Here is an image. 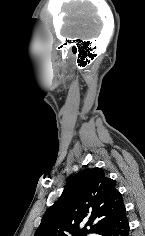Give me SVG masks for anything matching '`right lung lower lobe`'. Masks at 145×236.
I'll return each mask as SVG.
<instances>
[{
    "mask_svg": "<svg viewBox=\"0 0 145 236\" xmlns=\"http://www.w3.org/2000/svg\"><path fill=\"white\" fill-rule=\"evenodd\" d=\"M94 233L101 236H128L129 223L127 221L125 207Z\"/></svg>",
    "mask_w": 145,
    "mask_h": 236,
    "instance_id": "98d812e1",
    "label": "right lung lower lobe"
}]
</instances>
